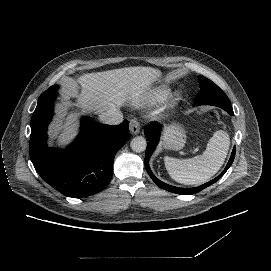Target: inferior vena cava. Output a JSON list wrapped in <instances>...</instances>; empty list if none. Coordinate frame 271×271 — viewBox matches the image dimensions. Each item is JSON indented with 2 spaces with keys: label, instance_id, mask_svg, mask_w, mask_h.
Returning a JSON list of instances; mask_svg holds the SVG:
<instances>
[{
  "label": "inferior vena cava",
  "instance_id": "1",
  "mask_svg": "<svg viewBox=\"0 0 271 271\" xmlns=\"http://www.w3.org/2000/svg\"><path fill=\"white\" fill-rule=\"evenodd\" d=\"M99 119L108 125H118L123 121V114L119 109L113 108L101 113Z\"/></svg>",
  "mask_w": 271,
  "mask_h": 271
}]
</instances>
